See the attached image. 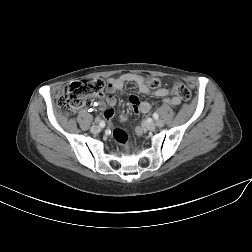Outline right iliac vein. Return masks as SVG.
Returning <instances> with one entry per match:
<instances>
[{
    "label": "right iliac vein",
    "mask_w": 252,
    "mask_h": 252,
    "mask_svg": "<svg viewBox=\"0 0 252 252\" xmlns=\"http://www.w3.org/2000/svg\"><path fill=\"white\" fill-rule=\"evenodd\" d=\"M90 131H91L93 134H97V133H99V132L101 131V129H100V126H98V125H93V126L91 127Z\"/></svg>",
    "instance_id": "obj_1"
}]
</instances>
